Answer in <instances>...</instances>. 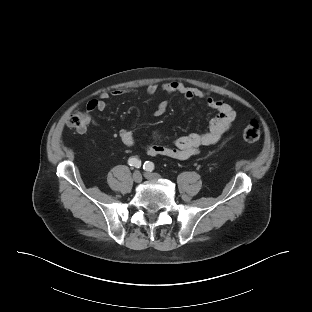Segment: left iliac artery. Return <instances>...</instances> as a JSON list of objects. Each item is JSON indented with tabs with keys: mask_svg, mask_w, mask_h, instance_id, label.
Masks as SVG:
<instances>
[{
	"mask_svg": "<svg viewBox=\"0 0 312 312\" xmlns=\"http://www.w3.org/2000/svg\"><path fill=\"white\" fill-rule=\"evenodd\" d=\"M143 169L151 172L154 169V164L150 161H146L143 165Z\"/></svg>",
	"mask_w": 312,
	"mask_h": 312,
	"instance_id": "44dca946",
	"label": "left iliac artery"
}]
</instances>
